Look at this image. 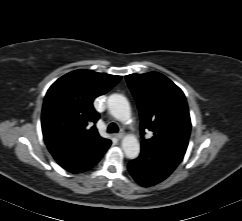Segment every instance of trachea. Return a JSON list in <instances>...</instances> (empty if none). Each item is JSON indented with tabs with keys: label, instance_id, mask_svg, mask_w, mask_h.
I'll return each instance as SVG.
<instances>
[{
	"label": "trachea",
	"instance_id": "3493384b",
	"mask_svg": "<svg viewBox=\"0 0 242 221\" xmlns=\"http://www.w3.org/2000/svg\"><path fill=\"white\" fill-rule=\"evenodd\" d=\"M119 131L118 126L115 123H111L109 124L108 128H107V132L108 133H116Z\"/></svg>",
	"mask_w": 242,
	"mask_h": 221
}]
</instances>
